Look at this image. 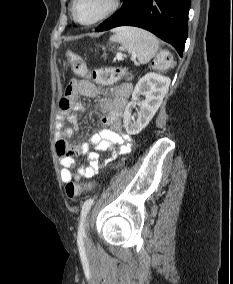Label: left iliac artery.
Returning a JSON list of instances; mask_svg holds the SVG:
<instances>
[{
    "instance_id": "44dca946",
    "label": "left iliac artery",
    "mask_w": 233,
    "mask_h": 284,
    "mask_svg": "<svg viewBox=\"0 0 233 284\" xmlns=\"http://www.w3.org/2000/svg\"><path fill=\"white\" fill-rule=\"evenodd\" d=\"M94 203V199H88L84 202L83 206H82V210H81V220H80V225H79V229H78V236L83 238L85 237V231H84V221H85V217L87 215V213L89 212L91 206Z\"/></svg>"
}]
</instances>
